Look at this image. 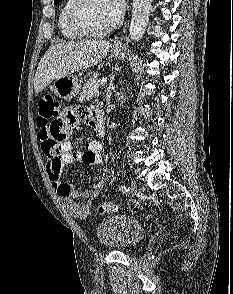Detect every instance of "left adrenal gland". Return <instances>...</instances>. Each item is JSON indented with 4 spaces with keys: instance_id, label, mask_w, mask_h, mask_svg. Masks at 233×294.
<instances>
[{
    "instance_id": "a2214340",
    "label": "left adrenal gland",
    "mask_w": 233,
    "mask_h": 294,
    "mask_svg": "<svg viewBox=\"0 0 233 294\" xmlns=\"http://www.w3.org/2000/svg\"><path fill=\"white\" fill-rule=\"evenodd\" d=\"M114 81V75L110 78V82L109 85L107 87V91H106V100L109 101L112 95V91L115 89V86L113 84Z\"/></svg>"
}]
</instances>
